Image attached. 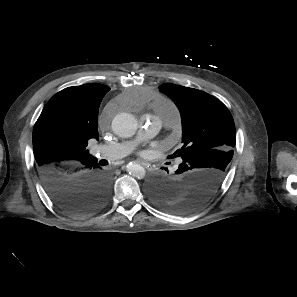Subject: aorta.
<instances>
[{
    "label": "aorta",
    "mask_w": 297,
    "mask_h": 297,
    "mask_svg": "<svg viewBox=\"0 0 297 297\" xmlns=\"http://www.w3.org/2000/svg\"><path fill=\"white\" fill-rule=\"evenodd\" d=\"M137 126L136 118L130 113H119L112 120V130L122 138L133 136L137 130ZM127 171L137 179H143L146 174L144 167L137 163H129L127 165Z\"/></svg>",
    "instance_id": "aorta-1"
}]
</instances>
